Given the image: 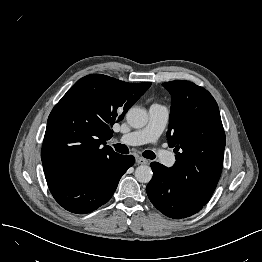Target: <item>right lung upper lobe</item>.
Wrapping results in <instances>:
<instances>
[{"mask_svg":"<svg viewBox=\"0 0 262 262\" xmlns=\"http://www.w3.org/2000/svg\"><path fill=\"white\" fill-rule=\"evenodd\" d=\"M150 85L102 74L78 80L49 115L41 151L45 175L92 172L119 156L105 140Z\"/></svg>","mask_w":262,"mask_h":262,"instance_id":"1","label":"right lung upper lobe"}]
</instances>
